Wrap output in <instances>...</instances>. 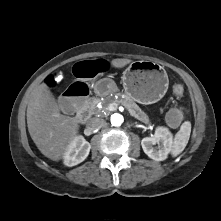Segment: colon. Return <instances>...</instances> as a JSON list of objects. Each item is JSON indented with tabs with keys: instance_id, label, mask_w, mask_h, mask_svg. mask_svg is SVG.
I'll use <instances>...</instances> for the list:
<instances>
[{
	"instance_id": "1",
	"label": "colon",
	"mask_w": 221,
	"mask_h": 221,
	"mask_svg": "<svg viewBox=\"0 0 221 221\" xmlns=\"http://www.w3.org/2000/svg\"><path fill=\"white\" fill-rule=\"evenodd\" d=\"M107 63L104 61L76 60L72 64V73L77 77L74 83L64 92L58 100L59 108L68 115L76 114L80 109L88 105V97L94 91V82L103 75ZM50 85L54 84V78L48 79ZM173 93L177 96L184 94L182 84L173 85ZM186 108L173 109L167 115V121L171 126H178L183 121Z\"/></svg>"
}]
</instances>
